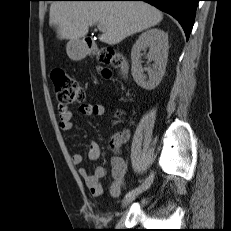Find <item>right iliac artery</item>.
Masks as SVG:
<instances>
[{
	"instance_id": "82829eb1",
	"label": "right iliac artery",
	"mask_w": 231,
	"mask_h": 231,
	"mask_svg": "<svg viewBox=\"0 0 231 231\" xmlns=\"http://www.w3.org/2000/svg\"><path fill=\"white\" fill-rule=\"evenodd\" d=\"M139 187H140V186H139ZM139 187H137V188L131 190L127 195H130V194H132V193H135V192L139 189Z\"/></svg>"
}]
</instances>
